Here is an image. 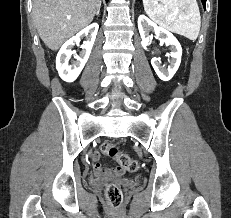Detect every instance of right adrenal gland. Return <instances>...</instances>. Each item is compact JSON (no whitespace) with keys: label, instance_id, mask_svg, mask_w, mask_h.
<instances>
[{"label":"right adrenal gland","instance_id":"obj_1","mask_svg":"<svg viewBox=\"0 0 231 218\" xmlns=\"http://www.w3.org/2000/svg\"><path fill=\"white\" fill-rule=\"evenodd\" d=\"M99 12H100V8L98 9V11H97V13H96L97 16H99Z\"/></svg>","mask_w":231,"mask_h":218}]
</instances>
